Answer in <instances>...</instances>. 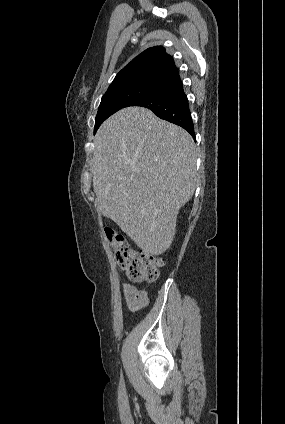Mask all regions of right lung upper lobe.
Instances as JSON below:
<instances>
[{
	"mask_svg": "<svg viewBox=\"0 0 285 424\" xmlns=\"http://www.w3.org/2000/svg\"><path fill=\"white\" fill-rule=\"evenodd\" d=\"M180 77L173 58L162 46L146 49L115 77L108 89L138 82L166 84Z\"/></svg>",
	"mask_w": 285,
	"mask_h": 424,
	"instance_id": "1",
	"label": "right lung upper lobe"
}]
</instances>
